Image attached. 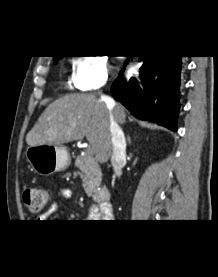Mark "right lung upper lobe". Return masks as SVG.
<instances>
[{"label": "right lung upper lobe", "mask_w": 218, "mask_h": 277, "mask_svg": "<svg viewBox=\"0 0 218 277\" xmlns=\"http://www.w3.org/2000/svg\"><path fill=\"white\" fill-rule=\"evenodd\" d=\"M59 57H61V56H54V59H57V58H59Z\"/></svg>", "instance_id": "1"}]
</instances>
